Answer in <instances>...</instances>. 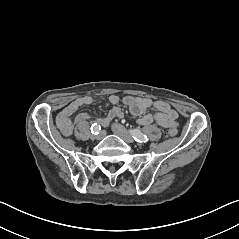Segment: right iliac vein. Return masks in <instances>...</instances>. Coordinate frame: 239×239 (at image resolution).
I'll use <instances>...</instances> for the list:
<instances>
[{
  "mask_svg": "<svg viewBox=\"0 0 239 239\" xmlns=\"http://www.w3.org/2000/svg\"><path fill=\"white\" fill-rule=\"evenodd\" d=\"M105 135H106V132L103 130L99 133V135L93 136V139L100 140V139L104 138Z\"/></svg>",
  "mask_w": 239,
  "mask_h": 239,
  "instance_id": "right-iliac-vein-1",
  "label": "right iliac vein"
}]
</instances>
